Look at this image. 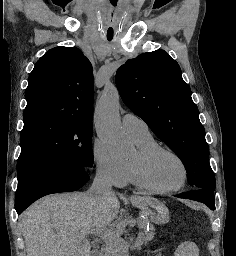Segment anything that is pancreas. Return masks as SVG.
<instances>
[{
    "label": "pancreas",
    "instance_id": "pancreas-1",
    "mask_svg": "<svg viewBox=\"0 0 236 256\" xmlns=\"http://www.w3.org/2000/svg\"><path fill=\"white\" fill-rule=\"evenodd\" d=\"M132 224V219H116V224ZM149 222H141V227H149ZM127 230L124 226H113V229L111 227H108L107 234H105L104 237H101V242H105L106 246L104 248L105 254H122V250H125V247H130L132 244L130 242H127V239L120 238L121 234H126ZM140 238H135L134 242L138 243H149V240H152L155 236L154 228L151 230V232H139ZM118 248V249H116Z\"/></svg>",
    "mask_w": 236,
    "mask_h": 256
}]
</instances>
